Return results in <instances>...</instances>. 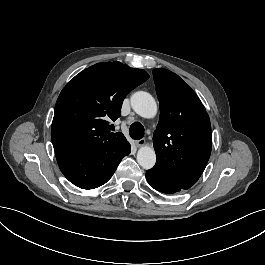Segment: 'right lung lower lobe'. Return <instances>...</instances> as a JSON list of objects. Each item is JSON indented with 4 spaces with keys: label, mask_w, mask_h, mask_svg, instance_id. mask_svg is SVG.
I'll list each match as a JSON object with an SVG mask.
<instances>
[{
    "label": "right lung lower lobe",
    "mask_w": 265,
    "mask_h": 265,
    "mask_svg": "<svg viewBox=\"0 0 265 265\" xmlns=\"http://www.w3.org/2000/svg\"><path fill=\"white\" fill-rule=\"evenodd\" d=\"M130 153L128 141L99 150H57L56 159L64 176L82 189H94L110 180L122 158Z\"/></svg>",
    "instance_id": "1"
}]
</instances>
